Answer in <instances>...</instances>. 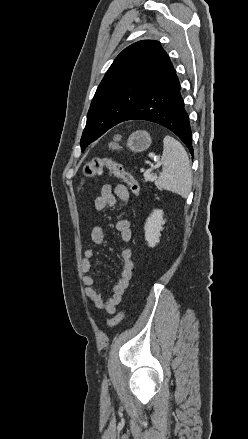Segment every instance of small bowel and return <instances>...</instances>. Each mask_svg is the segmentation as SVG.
<instances>
[{
	"mask_svg": "<svg viewBox=\"0 0 248 439\" xmlns=\"http://www.w3.org/2000/svg\"><path fill=\"white\" fill-rule=\"evenodd\" d=\"M129 198L128 189L124 185H116L112 187L110 184H105L101 188L100 195L94 200V207L97 211H103L107 207H116L119 202H126ZM116 230L119 233L121 240L125 243L132 238L131 224L127 219H120L115 224ZM90 239L94 244H101L104 241V231L101 226H95L90 233ZM95 252L88 248L84 252V257L81 261V270L85 274L83 283L85 285V295L87 299L93 303L98 309L105 311L108 314H114L117 306L121 303L123 295L127 290L134 269V262L132 259V251L130 248H123L120 257L123 262V268L120 278L113 286L112 295L104 299L101 291L94 288L95 278L90 274L92 270V258Z\"/></svg>",
	"mask_w": 248,
	"mask_h": 439,
	"instance_id": "obj_1",
	"label": "small bowel"
}]
</instances>
